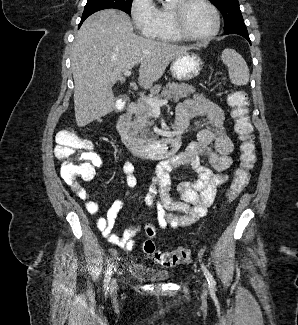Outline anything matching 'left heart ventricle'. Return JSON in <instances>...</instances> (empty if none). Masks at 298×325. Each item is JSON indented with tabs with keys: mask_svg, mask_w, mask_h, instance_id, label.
<instances>
[{
	"mask_svg": "<svg viewBox=\"0 0 298 325\" xmlns=\"http://www.w3.org/2000/svg\"><path fill=\"white\" fill-rule=\"evenodd\" d=\"M181 23L189 35L198 38H203L210 34L214 27L213 17L199 3H192L183 10Z\"/></svg>",
	"mask_w": 298,
	"mask_h": 325,
	"instance_id": "1",
	"label": "left heart ventricle"
}]
</instances>
